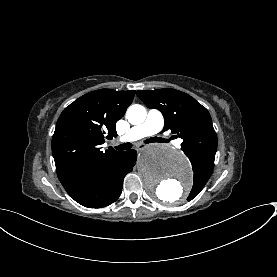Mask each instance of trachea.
<instances>
[{
    "instance_id": "3493384b",
    "label": "trachea",
    "mask_w": 277,
    "mask_h": 277,
    "mask_svg": "<svg viewBox=\"0 0 277 277\" xmlns=\"http://www.w3.org/2000/svg\"><path fill=\"white\" fill-rule=\"evenodd\" d=\"M149 140H146V143H148ZM132 147L131 143H125V144H121L119 146H116L115 149L119 150V151H124V150H129Z\"/></svg>"
}]
</instances>
